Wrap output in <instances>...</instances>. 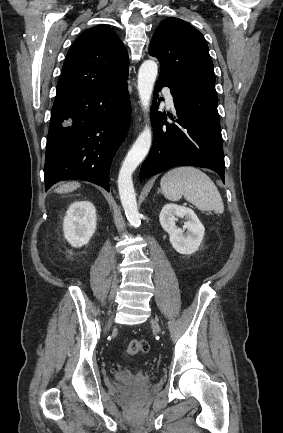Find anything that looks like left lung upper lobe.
<instances>
[{
	"mask_svg": "<svg viewBox=\"0 0 283 433\" xmlns=\"http://www.w3.org/2000/svg\"><path fill=\"white\" fill-rule=\"evenodd\" d=\"M149 53L160 62V76L183 88L184 107L219 120L213 63L197 29L184 20L168 17L155 30Z\"/></svg>",
	"mask_w": 283,
	"mask_h": 433,
	"instance_id": "1",
	"label": "left lung upper lobe"
}]
</instances>
